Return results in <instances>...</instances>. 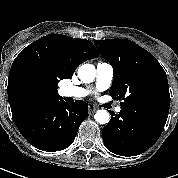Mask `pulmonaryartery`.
Instances as JSON below:
<instances>
[{"label": "pulmonary artery", "instance_id": "1", "mask_svg": "<svg viewBox=\"0 0 178 178\" xmlns=\"http://www.w3.org/2000/svg\"><path fill=\"white\" fill-rule=\"evenodd\" d=\"M114 70L113 67L106 62H99L96 65V87L102 91L107 89L113 80ZM60 94L63 97L82 98L88 95V91L82 87L63 86L60 88ZM120 107L116 108L119 112Z\"/></svg>", "mask_w": 178, "mask_h": 178}]
</instances>
